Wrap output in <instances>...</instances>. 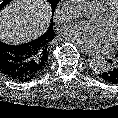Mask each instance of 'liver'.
Returning a JSON list of instances; mask_svg holds the SVG:
<instances>
[{
	"mask_svg": "<svg viewBox=\"0 0 118 118\" xmlns=\"http://www.w3.org/2000/svg\"><path fill=\"white\" fill-rule=\"evenodd\" d=\"M50 19L45 0H14L0 12V40L15 45L26 43L45 33Z\"/></svg>",
	"mask_w": 118,
	"mask_h": 118,
	"instance_id": "obj_1",
	"label": "liver"
}]
</instances>
